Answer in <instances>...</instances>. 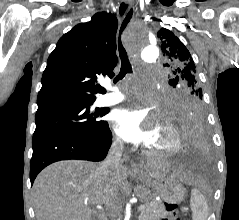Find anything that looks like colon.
<instances>
[{"label": "colon", "mask_w": 239, "mask_h": 220, "mask_svg": "<svg viewBox=\"0 0 239 220\" xmlns=\"http://www.w3.org/2000/svg\"><path fill=\"white\" fill-rule=\"evenodd\" d=\"M166 211L169 213V217L165 220H179L178 216L176 215L177 204L175 203H165Z\"/></svg>", "instance_id": "colon-1"}]
</instances>
